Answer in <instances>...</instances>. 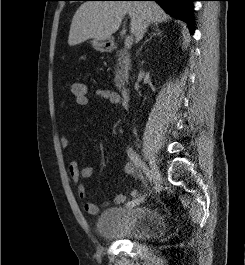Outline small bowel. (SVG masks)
<instances>
[{"instance_id": "c3829d8e", "label": "small bowel", "mask_w": 245, "mask_h": 265, "mask_svg": "<svg viewBox=\"0 0 245 265\" xmlns=\"http://www.w3.org/2000/svg\"><path fill=\"white\" fill-rule=\"evenodd\" d=\"M94 94L97 98L108 100L109 102L113 104H120L121 102L120 96L116 92L109 90V89L97 88ZM60 145L62 148L68 147L69 139L67 136H62L60 138ZM67 169H68V173H69V176L72 182L77 187L79 198L84 201V210L90 215H97L100 212L101 208L103 206H106L108 203L106 202L104 204H97V203L89 201L87 198L85 187L82 183L83 179L89 178L93 175L94 168L91 165H86L80 168L78 163L75 160H71L68 163ZM124 171L127 175L139 177L137 168L134 163H130V162L127 163L124 166ZM130 195L133 198L137 197L138 196L137 190L135 189L131 190ZM113 202L117 205L125 204L126 196L123 194H117L114 197Z\"/></svg>"}]
</instances>
